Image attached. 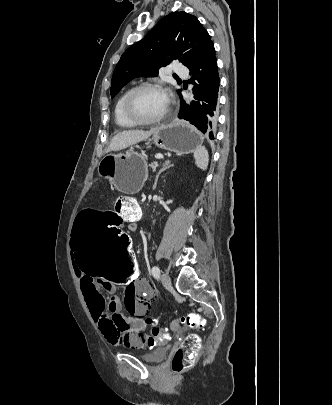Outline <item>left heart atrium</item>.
Wrapping results in <instances>:
<instances>
[{"mask_svg":"<svg viewBox=\"0 0 332 405\" xmlns=\"http://www.w3.org/2000/svg\"><path fill=\"white\" fill-rule=\"evenodd\" d=\"M164 95H165L167 101H169L168 95L166 93H164Z\"/></svg>","mask_w":332,"mask_h":405,"instance_id":"obj_1","label":"left heart atrium"}]
</instances>
